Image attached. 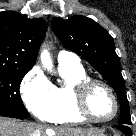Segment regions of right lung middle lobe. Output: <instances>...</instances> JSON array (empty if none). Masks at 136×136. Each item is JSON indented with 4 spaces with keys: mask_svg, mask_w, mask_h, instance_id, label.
<instances>
[{
    "mask_svg": "<svg viewBox=\"0 0 136 136\" xmlns=\"http://www.w3.org/2000/svg\"><path fill=\"white\" fill-rule=\"evenodd\" d=\"M28 71L0 69V116L17 119L29 117L19 93L20 83Z\"/></svg>",
    "mask_w": 136,
    "mask_h": 136,
    "instance_id": "right-lung-middle-lobe-1",
    "label": "right lung middle lobe"
}]
</instances>
